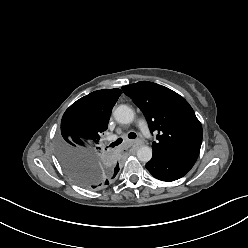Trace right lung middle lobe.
Masks as SVG:
<instances>
[{
    "label": "right lung middle lobe",
    "instance_id": "obj_1",
    "mask_svg": "<svg viewBox=\"0 0 248 248\" xmlns=\"http://www.w3.org/2000/svg\"><path fill=\"white\" fill-rule=\"evenodd\" d=\"M70 137L61 132L57 144L59 158L67 175L76 184L89 189H101L108 185L113 177L99 161L70 150H67L68 157L62 154L64 140H68Z\"/></svg>",
    "mask_w": 248,
    "mask_h": 248
}]
</instances>
